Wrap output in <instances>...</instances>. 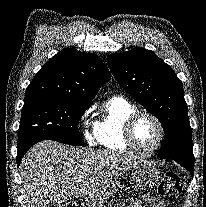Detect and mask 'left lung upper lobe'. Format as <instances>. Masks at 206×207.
I'll use <instances>...</instances> for the list:
<instances>
[{
  "label": "left lung upper lobe",
  "instance_id": "1",
  "mask_svg": "<svg viewBox=\"0 0 206 207\" xmlns=\"http://www.w3.org/2000/svg\"><path fill=\"white\" fill-rule=\"evenodd\" d=\"M107 63L118 83L161 122V158L194 164L192 133L182 81L153 51L136 48L113 53Z\"/></svg>",
  "mask_w": 206,
  "mask_h": 207
}]
</instances>
